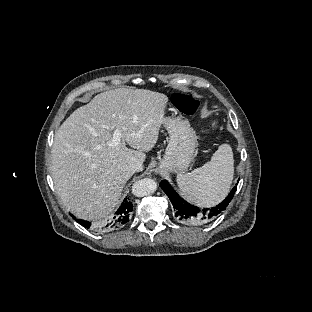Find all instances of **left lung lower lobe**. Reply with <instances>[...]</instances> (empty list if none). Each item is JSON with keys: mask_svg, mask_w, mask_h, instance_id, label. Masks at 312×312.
<instances>
[{"mask_svg": "<svg viewBox=\"0 0 312 312\" xmlns=\"http://www.w3.org/2000/svg\"><path fill=\"white\" fill-rule=\"evenodd\" d=\"M160 187L167 194L173 205L176 220L195 227L207 224L215 219L226 209L236 192V187H234L227 198L216 207L211 209H200L181 198L166 180L161 181Z\"/></svg>", "mask_w": 312, "mask_h": 312, "instance_id": "obj_1", "label": "left lung lower lobe"}]
</instances>
